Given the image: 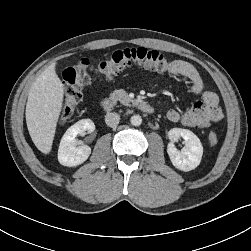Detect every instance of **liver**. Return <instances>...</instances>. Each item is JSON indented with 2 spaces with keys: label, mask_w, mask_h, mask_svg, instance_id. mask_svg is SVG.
Listing matches in <instances>:
<instances>
[{
  "label": "liver",
  "mask_w": 251,
  "mask_h": 251,
  "mask_svg": "<svg viewBox=\"0 0 251 251\" xmlns=\"http://www.w3.org/2000/svg\"><path fill=\"white\" fill-rule=\"evenodd\" d=\"M56 63L48 66L32 84L26 104V123L30 137L44 154L50 153L56 126L63 105L64 86L55 71Z\"/></svg>",
  "instance_id": "obj_1"
}]
</instances>
